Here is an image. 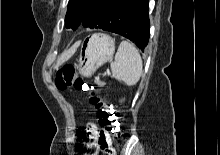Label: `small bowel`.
Masks as SVG:
<instances>
[{
	"label": "small bowel",
	"instance_id": "small-bowel-1",
	"mask_svg": "<svg viewBox=\"0 0 220 155\" xmlns=\"http://www.w3.org/2000/svg\"><path fill=\"white\" fill-rule=\"evenodd\" d=\"M99 130L96 125L93 123H89L86 127V140L87 145L89 146L98 136Z\"/></svg>",
	"mask_w": 220,
	"mask_h": 155
}]
</instances>
